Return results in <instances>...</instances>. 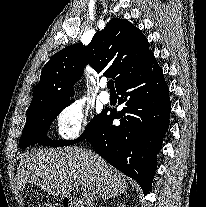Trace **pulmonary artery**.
<instances>
[{"mask_svg":"<svg viewBox=\"0 0 206 207\" xmlns=\"http://www.w3.org/2000/svg\"><path fill=\"white\" fill-rule=\"evenodd\" d=\"M102 88L103 90L100 93V101L104 104H107L110 102L111 97H110V94L105 90L106 83L102 84Z\"/></svg>","mask_w":206,"mask_h":207,"instance_id":"obj_1","label":"pulmonary artery"}]
</instances>
